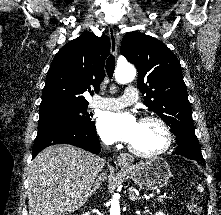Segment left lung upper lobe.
<instances>
[{"instance_id": "obj_1", "label": "left lung upper lobe", "mask_w": 221, "mask_h": 215, "mask_svg": "<svg viewBox=\"0 0 221 215\" xmlns=\"http://www.w3.org/2000/svg\"><path fill=\"white\" fill-rule=\"evenodd\" d=\"M121 53L138 70L145 105L170 126L177 144L199 145L181 65L172 51L154 37L129 32L122 39Z\"/></svg>"}]
</instances>
